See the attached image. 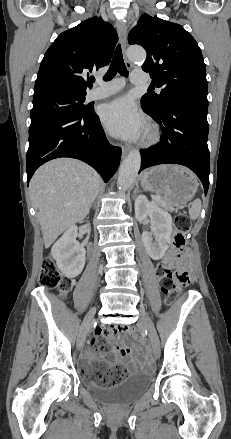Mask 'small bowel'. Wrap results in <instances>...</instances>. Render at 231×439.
I'll return each mask as SVG.
<instances>
[{"label":"small bowel","mask_w":231,"mask_h":439,"mask_svg":"<svg viewBox=\"0 0 231 439\" xmlns=\"http://www.w3.org/2000/svg\"><path fill=\"white\" fill-rule=\"evenodd\" d=\"M171 255L172 253L168 254V256ZM118 335L119 333L115 329H106L103 327H98L96 329L85 357L86 361L94 366V370L97 368L96 363L102 361L108 365V368L117 364H122L128 367L132 372H137V366L134 362L135 356L132 349L126 345L117 343L116 339ZM102 337L107 338L113 343V349L110 355L97 356L93 350L95 347L92 344V341H97Z\"/></svg>","instance_id":"small-bowel-1"}]
</instances>
